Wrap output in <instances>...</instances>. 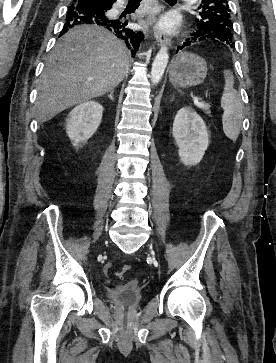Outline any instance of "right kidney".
I'll list each match as a JSON object with an SVG mask.
<instances>
[{
	"label": "right kidney",
	"mask_w": 276,
	"mask_h": 363,
	"mask_svg": "<svg viewBox=\"0 0 276 363\" xmlns=\"http://www.w3.org/2000/svg\"><path fill=\"white\" fill-rule=\"evenodd\" d=\"M103 107L95 101L76 106L66 118V133L76 148L85 144L97 131L102 120Z\"/></svg>",
	"instance_id": "right-kidney-1"
}]
</instances>
